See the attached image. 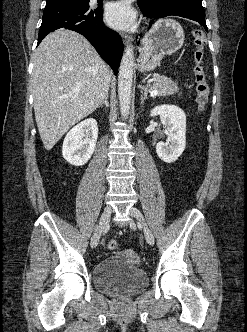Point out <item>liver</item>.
Segmentation results:
<instances>
[{
	"label": "liver",
	"mask_w": 247,
	"mask_h": 332,
	"mask_svg": "<svg viewBox=\"0 0 247 332\" xmlns=\"http://www.w3.org/2000/svg\"><path fill=\"white\" fill-rule=\"evenodd\" d=\"M34 112L46 150L94 112L108 94L110 70L80 34L56 30L34 52Z\"/></svg>",
	"instance_id": "1"
}]
</instances>
